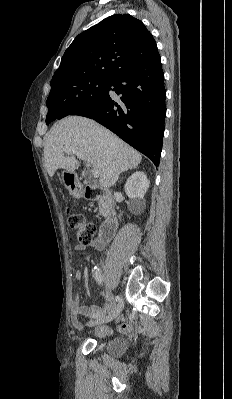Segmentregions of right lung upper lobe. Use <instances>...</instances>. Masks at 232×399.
<instances>
[{"mask_svg":"<svg viewBox=\"0 0 232 399\" xmlns=\"http://www.w3.org/2000/svg\"><path fill=\"white\" fill-rule=\"evenodd\" d=\"M155 51L156 42L140 20L129 14L112 15L76 36L54 73L49 95L110 79Z\"/></svg>","mask_w":232,"mask_h":399,"instance_id":"1","label":"right lung upper lobe"}]
</instances>
